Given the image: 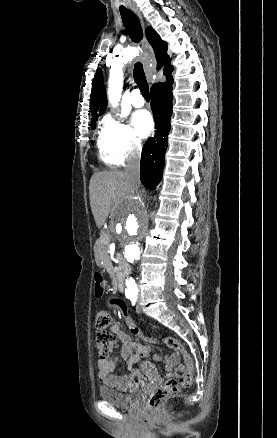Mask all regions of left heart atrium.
Here are the masks:
<instances>
[{"label":"left heart atrium","instance_id":"obj_1","mask_svg":"<svg viewBox=\"0 0 277 438\" xmlns=\"http://www.w3.org/2000/svg\"><path fill=\"white\" fill-rule=\"evenodd\" d=\"M133 124L141 137H146L150 134L153 128L151 114L146 110L135 112L133 115Z\"/></svg>","mask_w":277,"mask_h":438}]
</instances>
